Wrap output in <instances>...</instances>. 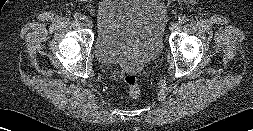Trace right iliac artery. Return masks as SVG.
I'll use <instances>...</instances> for the list:
<instances>
[{"mask_svg": "<svg viewBox=\"0 0 253 131\" xmlns=\"http://www.w3.org/2000/svg\"><path fill=\"white\" fill-rule=\"evenodd\" d=\"M74 18H75L76 20H84V19H85V16L82 15V14H80V13H75V14H74Z\"/></svg>", "mask_w": 253, "mask_h": 131, "instance_id": "82829eb1", "label": "right iliac artery"}]
</instances>
